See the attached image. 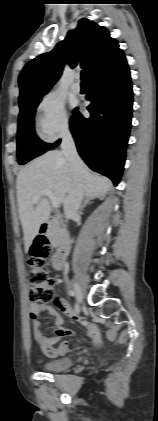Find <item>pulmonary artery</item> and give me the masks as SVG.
I'll return each instance as SVG.
<instances>
[{"instance_id":"obj_1","label":"pulmonary artery","mask_w":158,"mask_h":421,"mask_svg":"<svg viewBox=\"0 0 158 421\" xmlns=\"http://www.w3.org/2000/svg\"><path fill=\"white\" fill-rule=\"evenodd\" d=\"M72 92H74L75 94L80 93L81 91V85L79 83V77H76V81L73 83L72 87H71Z\"/></svg>"}]
</instances>
